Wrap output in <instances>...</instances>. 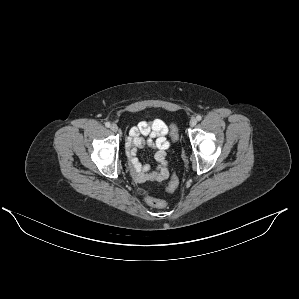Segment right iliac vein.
Returning a JSON list of instances; mask_svg holds the SVG:
<instances>
[{"instance_id":"obj_1","label":"right iliac vein","mask_w":299,"mask_h":299,"mask_svg":"<svg viewBox=\"0 0 299 299\" xmlns=\"http://www.w3.org/2000/svg\"><path fill=\"white\" fill-rule=\"evenodd\" d=\"M110 129H111V131H113V132H117V131H118V126H117L116 124H112V125L110 126Z\"/></svg>"}]
</instances>
